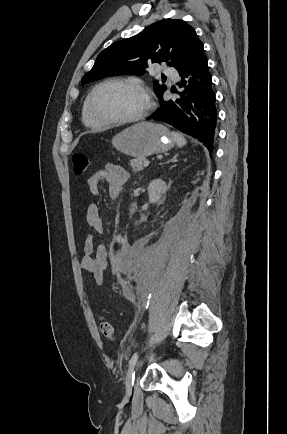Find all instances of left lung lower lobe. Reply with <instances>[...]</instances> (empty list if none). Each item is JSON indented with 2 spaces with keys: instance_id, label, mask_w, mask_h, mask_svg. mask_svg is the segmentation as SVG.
Listing matches in <instances>:
<instances>
[{
  "instance_id": "left-lung-lower-lobe-1",
  "label": "left lung lower lobe",
  "mask_w": 287,
  "mask_h": 434,
  "mask_svg": "<svg viewBox=\"0 0 287 434\" xmlns=\"http://www.w3.org/2000/svg\"><path fill=\"white\" fill-rule=\"evenodd\" d=\"M184 91L175 101L160 98V108L148 117L168 123L199 140L210 152L216 139L217 110L212 79L204 53L179 70Z\"/></svg>"
}]
</instances>
